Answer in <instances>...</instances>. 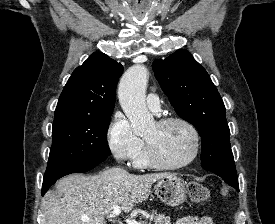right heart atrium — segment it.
I'll return each instance as SVG.
<instances>
[{
  "instance_id": "obj_1",
  "label": "right heart atrium",
  "mask_w": 275,
  "mask_h": 224,
  "mask_svg": "<svg viewBox=\"0 0 275 224\" xmlns=\"http://www.w3.org/2000/svg\"><path fill=\"white\" fill-rule=\"evenodd\" d=\"M107 144L112 155L119 161L129 162L136 158L143 148V142L133 131L130 122L117 112L107 130Z\"/></svg>"
}]
</instances>
